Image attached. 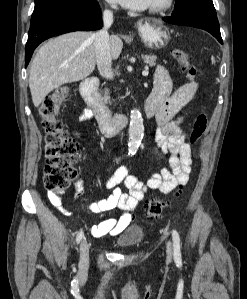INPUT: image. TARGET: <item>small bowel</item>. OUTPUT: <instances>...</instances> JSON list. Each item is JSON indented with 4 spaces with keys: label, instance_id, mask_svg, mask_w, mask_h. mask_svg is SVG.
<instances>
[{
    "label": "small bowel",
    "instance_id": "c3829d8e",
    "mask_svg": "<svg viewBox=\"0 0 247 299\" xmlns=\"http://www.w3.org/2000/svg\"><path fill=\"white\" fill-rule=\"evenodd\" d=\"M196 89V82L193 78L188 77L181 87L173 90V83L168 71L162 66L157 68L154 88L147 101L157 108L155 117L158 129L155 141L162 153L169 154L168 166L153 174L147 182H142L136 175L130 174L126 165L118 166L114 173L104 181V187L111 190V194L90 203L88 210L100 214L101 217L114 209L121 210L123 214L118 218H105L91 226L90 233L94 237L114 236L124 231L132 221L131 213L144 200L149 189L158 190L166 195L186 185L191 172L192 154L180 128L185 115L175 120L172 118L193 100ZM90 116V112H85L82 119H88ZM75 188V197H81L84 193L83 182L78 180L75 183ZM49 199L61 212L67 215L71 214L63 206L59 195L51 193Z\"/></svg>",
    "mask_w": 247,
    "mask_h": 299
}]
</instances>
